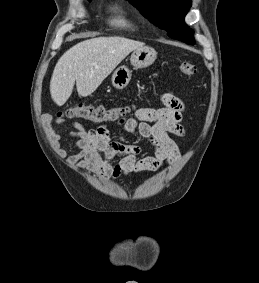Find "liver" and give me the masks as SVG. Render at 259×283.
I'll use <instances>...</instances> for the list:
<instances>
[{
	"instance_id": "obj_1",
	"label": "liver",
	"mask_w": 259,
	"mask_h": 283,
	"mask_svg": "<svg viewBox=\"0 0 259 283\" xmlns=\"http://www.w3.org/2000/svg\"><path fill=\"white\" fill-rule=\"evenodd\" d=\"M144 43L124 37H97L82 41L58 60L50 81L53 101L62 106L76 81L79 96L91 95L133 50Z\"/></svg>"
}]
</instances>
